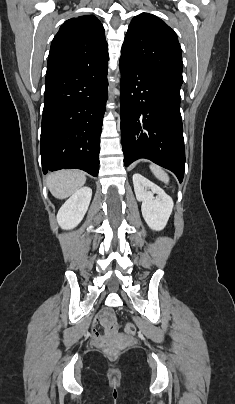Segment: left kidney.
Segmentation results:
<instances>
[{
  "label": "left kidney",
  "mask_w": 235,
  "mask_h": 404,
  "mask_svg": "<svg viewBox=\"0 0 235 404\" xmlns=\"http://www.w3.org/2000/svg\"><path fill=\"white\" fill-rule=\"evenodd\" d=\"M133 185L136 199L142 202L141 211L145 222L154 231L163 230L173 209L171 197L139 173L133 175Z\"/></svg>",
  "instance_id": "5707ae66"
}]
</instances>
